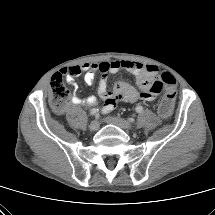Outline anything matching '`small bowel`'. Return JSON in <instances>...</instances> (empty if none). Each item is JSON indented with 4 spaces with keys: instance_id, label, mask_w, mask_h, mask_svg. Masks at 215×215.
Masks as SVG:
<instances>
[{
    "instance_id": "1",
    "label": "small bowel",
    "mask_w": 215,
    "mask_h": 215,
    "mask_svg": "<svg viewBox=\"0 0 215 215\" xmlns=\"http://www.w3.org/2000/svg\"><path fill=\"white\" fill-rule=\"evenodd\" d=\"M127 70L136 77L138 89L124 82L115 83L112 90L108 88L107 76L109 73H116L119 70ZM100 74L98 83V95L103 102L101 107L102 113L111 112L117 103L126 102L134 103L139 100L153 102L157 98L159 92L152 91V86L159 74V68L152 64H143L129 60H114L102 63H85L82 65H73L65 67L60 74L64 75L67 82L71 84L75 93L70 98V103L81 106H95L98 99L95 96L80 98L77 93V84L75 78L84 74V81L87 85H92L95 81L96 74Z\"/></svg>"
}]
</instances>
